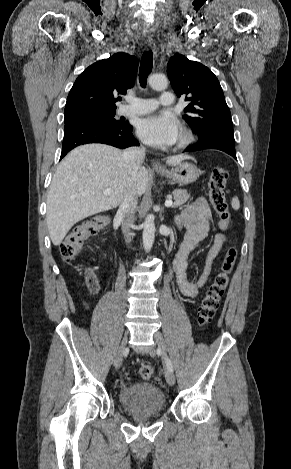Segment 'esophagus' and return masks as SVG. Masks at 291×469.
Returning <instances> with one entry per match:
<instances>
[{"label":"esophagus","mask_w":291,"mask_h":469,"mask_svg":"<svg viewBox=\"0 0 291 469\" xmlns=\"http://www.w3.org/2000/svg\"><path fill=\"white\" fill-rule=\"evenodd\" d=\"M145 43H146V47H147L148 49H149V48H151V49H153V50L155 49V43H154V41H153L151 38L147 39ZM151 165H152V167L155 168V169L161 168L160 163L157 162V161H155V160H152Z\"/></svg>","instance_id":"obj_1"}]
</instances>
